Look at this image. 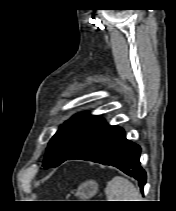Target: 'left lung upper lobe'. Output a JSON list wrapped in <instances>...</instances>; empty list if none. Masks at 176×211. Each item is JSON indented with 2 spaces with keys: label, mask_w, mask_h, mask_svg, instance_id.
I'll return each instance as SVG.
<instances>
[{
  "label": "left lung upper lobe",
  "mask_w": 176,
  "mask_h": 211,
  "mask_svg": "<svg viewBox=\"0 0 176 211\" xmlns=\"http://www.w3.org/2000/svg\"><path fill=\"white\" fill-rule=\"evenodd\" d=\"M107 124L99 116L79 113L66 121L50 140L44 168L56 167L79 151L89 139Z\"/></svg>",
  "instance_id": "left-lung-upper-lobe-1"
}]
</instances>
